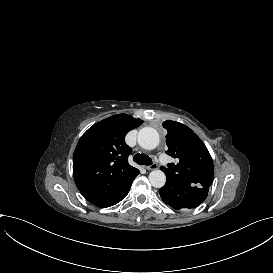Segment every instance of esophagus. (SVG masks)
Masks as SVG:
<instances>
[{"instance_id": "obj_1", "label": "esophagus", "mask_w": 273, "mask_h": 273, "mask_svg": "<svg viewBox=\"0 0 273 273\" xmlns=\"http://www.w3.org/2000/svg\"><path fill=\"white\" fill-rule=\"evenodd\" d=\"M158 168V164L157 163H153L149 166L146 167L147 170H155Z\"/></svg>"}]
</instances>
